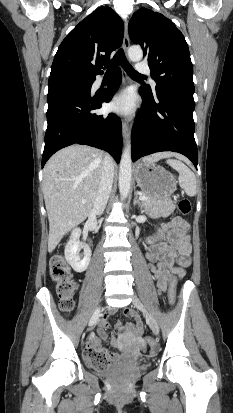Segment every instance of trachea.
<instances>
[{"label": "trachea", "instance_id": "1", "mask_svg": "<svg viewBox=\"0 0 233 413\" xmlns=\"http://www.w3.org/2000/svg\"><path fill=\"white\" fill-rule=\"evenodd\" d=\"M104 64L107 68L106 74H114L117 66L121 64L126 73L131 77H143L130 65L122 49L118 50V52L115 54L114 58L111 61L105 62Z\"/></svg>", "mask_w": 233, "mask_h": 413}]
</instances>
